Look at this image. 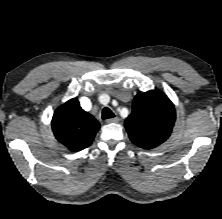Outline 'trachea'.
<instances>
[{"mask_svg":"<svg viewBox=\"0 0 222 219\" xmlns=\"http://www.w3.org/2000/svg\"><path fill=\"white\" fill-rule=\"evenodd\" d=\"M115 115L114 113L108 108L105 107L102 111V119H110V118H114Z\"/></svg>","mask_w":222,"mask_h":219,"instance_id":"3493384b","label":"trachea"}]
</instances>
